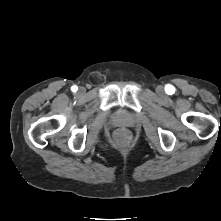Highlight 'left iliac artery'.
<instances>
[{
	"mask_svg": "<svg viewBox=\"0 0 221 221\" xmlns=\"http://www.w3.org/2000/svg\"><path fill=\"white\" fill-rule=\"evenodd\" d=\"M167 94H173L174 93V87L172 85H167L165 88Z\"/></svg>",
	"mask_w": 221,
	"mask_h": 221,
	"instance_id": "1",
	"label": "left iliac artery"
}]
</instances>
